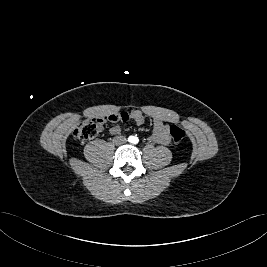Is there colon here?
Returning a JSON list of instances; mask_svg holds the SVG:
<instances>
[{"mask_svg":"<svg viewBox=\"0 0 267 267\" xmlns=\"http://www.w3.org/2000/svg\"><path fill=\"white\" fill-rule=\"evenodd\" d=\"M128 118L126 112H117L109 117L93 118L83 121L74 131V138L80 142H85L95 138L102 129L106 121H125ZM169 133L176 143H180L185 138V131L179 125L172 124Z\"/></svg>","mask_w":267,"mask_h":267,"instance_id":"1","label":"colon"}]
</instances>
